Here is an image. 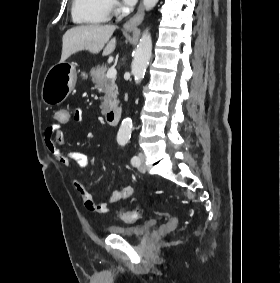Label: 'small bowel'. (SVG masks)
I'll return each mask as SVG.
<instances>
[{
    "instance_id": "1",
    "label": "small bowel",
    "mask_w": 280,
    "mask_h": 283,
    "mask_svg": "<svg viewBox=\"0 0 280 283\" xmlns=\"http://www.w3.org/2000/svg\"><path fill=\"white\" fill-rule=\"evenodd\" d=\"M69 114H73L72 120L76 123H81L84 120L83 113L79 109L69 110ZM63 142L64 133L61 129V125H57L56 121V124L50 126L45 132V145L48 151L55 157L59 164L66 168L73 166L77 168H86L90 163L89 157L82 152L62 150L61 146ZM73 186L82 199L85 209L94 214L108 213L112 204L120 200L128 199L133 194V187L125 186L121 190L113 191L105 202L96 203L92 194L79 179H74Z\"/></svg>"
}]
</instances>
